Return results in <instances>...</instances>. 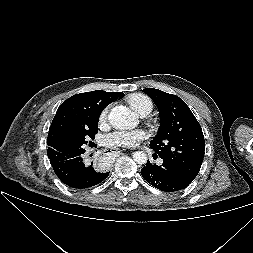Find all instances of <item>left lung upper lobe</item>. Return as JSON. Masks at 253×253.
<instances>
[{
    "mask_svg": "<svg viewBox=\"0 0 253 253\" xmlns=\"http://www.w3.org/2000/svg\"><path fill=\"white\" fill-rule=\"evenodd\" d=\"M142 91L155 102L160 115V126L150 147L160 158L196 177L203 162L205 141L190 108L176 95L153 88Z\"/></svg>",
    "mask_w": 253,
    "mask_h": 253,
    "instance_id": "obj_1",
    "label": "left lung upper lobe"
}]
</instances>
